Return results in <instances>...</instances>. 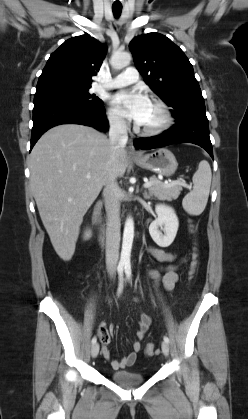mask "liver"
<instances>
[{"label":"liver","instance_id":"1","mask_svg":"<svg viewBox=\"0 0 248 419\" xmlns=\"http://www.w3.org/2000/svg\"><path fill=\"white\" fill-rule=\"evenodd\" d=\"M110 156L107 136L78 124L51 128L30 154L31 191L51 243L65 261L75 252L83 216L106 184L109 170L116 177L126 171L124 148L111 164Z\"/></svg>","mask_w":248,"mask_h":419}]
</instances>
